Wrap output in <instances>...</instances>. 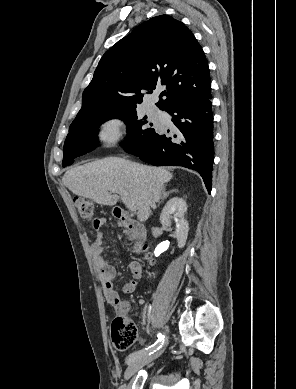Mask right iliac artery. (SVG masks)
<instances>
[{
	"label": "right iliac artery",
	"mask_w": 296,
	"mask_h": 389,
	"mask_svg": "<svg viewBox=\"0 0 296 389\" xmlns=\"http://www.w3.org/2000/svg\"><path fill=\"white\" fill-rule=\"evenodd\" d=\"M164 342H165V336L161 333H158V341L153 345L149 346L148 348L132 353L128 358V363H131L132 361H134L139 357L153 354L164 345Z\"/></svg>",
	"instance_id": "82829eb1"
}]
</instances>
